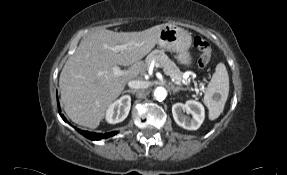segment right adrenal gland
I'll list each match as a JSON object with an SVG mask.
<instances>
[{
  "label": "right adrenal gland",
  "instance_id": "2a0ac1e0",
  "mask_svg": "<svg viewBox=\"0 0 287 175\" xmlns=\"http://www.w3.org/2000/svg\"><path fill=\"white\" fill-rule=\"evenodd\" d=\"M136 92L137 90H132V89L123 91V93H132V94H135Z\"/></svg>",
  "mask_w": 287,
  "mask_h": 175
}]
</instances>
